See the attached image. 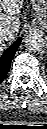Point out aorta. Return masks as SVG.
Returning <instances> with one entry per match:
<instances>
[{"label":"aorta","mask_w":47,"mask_h":129,"mask_svg":"<svg viewBox=\"0 0 47 129\" xmlns=\"http://www.w3.org/2000/svg\"><path fill=\"white\" fill-rule=\"evenodd\" d=\"M47 44L46 37L39 32H31L24 39L25 47L32 52H40L45 49Z\"/></svg>","instance_id":"obj_1"}]
</instances>
